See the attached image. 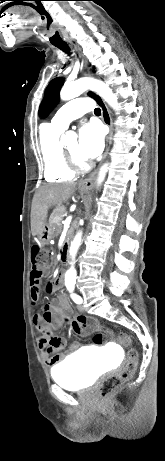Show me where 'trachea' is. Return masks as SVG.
I'll list each match as a JSON object with an SVG mask.
<instances>
[{
	"instance_id": "obj_1",
	"label": "trachea",
	"mask_w": 165,
	"mask_h": 461,
	"mask_svg": "<svg viewBox=\"0 0 165 461\" xmlns=\"http://www.w3.org/2000/svg\"><path fill=\"white\" fill-rule=\"evenodd\" d=\"M54 46L58 47L59 49L65 51V52L68 51V46H67L66 43L54 44ZM91 96L94 97V98L98 101V103L101 102V101H100V98H99L98 96H96V95H94V94H92ZM94 113H95L96 115H100L101 110H100L99 108H96V109L94 110Z\"/></svg>"
}]
</instances>
